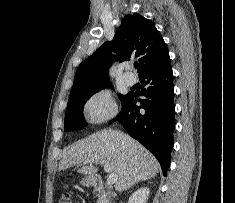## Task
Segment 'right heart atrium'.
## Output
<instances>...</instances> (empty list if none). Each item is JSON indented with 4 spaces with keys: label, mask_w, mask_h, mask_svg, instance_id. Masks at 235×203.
I'll use <instances>...</instances> for the list:
<instances>
[{
    "label": "right heart atrium",
    "mask_w": 235,
    "mask_h": 203,
    "mask_svg": "<svg viewBox=\"0 0 235 203\" xmlns=\"http://www.w3.org/2000/svg\"><path fill=\"white\" fill-rule=\"evenodd\" d=\"M116 104L111 93L101 89L92 94L84 105V113L91 123L104 122L116 114Z\"/></svg>",
    "instance_id": "obj_1"
}]
</instances>
